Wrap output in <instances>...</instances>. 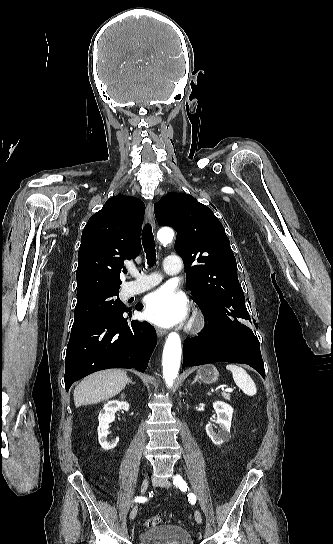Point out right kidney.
I'll return each mask as SVG.
<instances>
[{
    "label": "right kidney",
    "instance_id": "1",
    "mask_svg": "<svg viewBox=\"0 0 333 544\" xmlns=\"http://www.w3.org/2000/svg\"><path fill=\"white\" fill-rule=\"evenodd\" d=\"M129 408H130V405L124 401L111 400L107 402L106 404H104L103 410L100 411L98 416L99 426L97 429L98 440L101 447L104 450L113 449L119 441V438H116L112 442H109L107 440V437L109 435V432H108L109 424L114 421L115 413L120 409L128 411Z\"/></svg>",
    "mask_w": 333,
    "mask_h": 544
}]
</instances>
